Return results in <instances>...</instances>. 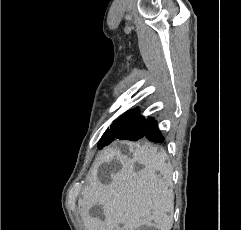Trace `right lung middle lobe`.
I'll return each mask as SVG.
<instances>
[{
  "label": "right lung middle lobe",
  "instance_id": "1",
  "mask_svg": "<svg viewBox=\"0 0 241 230\" xmlns=\"http://www.w3.org/2000/svg\"><path fill=\"white\" fill-rule=\"evenodd\" d=\"M137 115H122L113 122L110 129L103 134L98 143V148L102 149L104 146L109 145L114 140H131L137 141L141 137H138L136 133L129 131V126L137 121Z\"/></svg>",
  "mask_w": 241,
  "mask_h": 230
}]
</instances>
